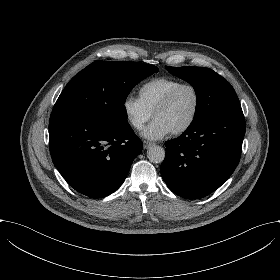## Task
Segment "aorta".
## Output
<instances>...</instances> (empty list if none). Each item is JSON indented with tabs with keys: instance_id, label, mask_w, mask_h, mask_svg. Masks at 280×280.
<instances>
[{
	"instance_id": "aorta-1",
	"label": "aorta",
	"mask_w": 280,
	"mask_h": 280,
	"mask_svg": "<svg viewBox=\"0 0 280 280\" xmlns=\"http://www.w3.org/2000/svg\"><path fill=\"white\" fill-rule=\"evenodd\" d=\"M147 157L152 163H161L165 158V150L161 146L154 145L148 149Z\"/></svg>"
}]
</instances>
